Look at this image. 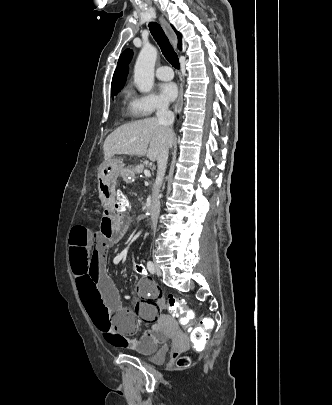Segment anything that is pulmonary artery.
Wrapping results in <instances>:
<instances>
[{
  "instance_id": "pulmonary-artery-1",
  "label": "pulmonary artery",
  "mask_w": 332,
  "mask_h": 405,
  "mask_svg": "<svg viewBox=\"0 0 332 405\" xmlns=\"http://www.w3.org/2000/svg\"><path fill=\"white\" fill-rule=\"evenodd\" d=\"M156 76L160 80H171L174 76L172 69L169 66H160L156 69Z\"/></svg>"
}]
</instances>
